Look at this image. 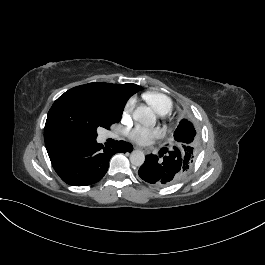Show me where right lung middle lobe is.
Instances as JSON below:
<instances>
[{
  "label": "right lung middle lobe",
  "instance_id": "obj_1",
  "mask_svg": "<svg viewBox=\"0 0 265 265\" xmlns=\"http://www.w3.org/2000/svg\"><path fill=\"white\" fill-rule=\"evenodd\" d=\"M129 98L124 93L91 86L74 87L52 105L45 128L53 136L74 144L96 140V129L119 122Z\"/></svg>",
  "mask_w": 265,
  "mask_h": 265
}]
</instances>
